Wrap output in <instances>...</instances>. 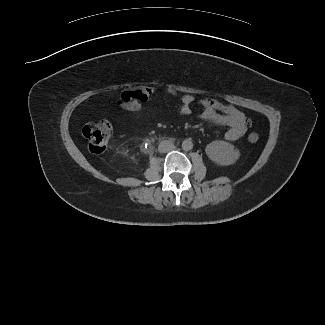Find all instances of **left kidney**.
Masks as SVG:
<instances>
[{"instance_id": "5707ae66", "label": "left kidney", "mask_w": 325, "mask_h": 325, "mask_svg": "<svg viewBox=\"0 0 325 325\" xmlns=\"http://www.w3.org/2000/svg\"><path fill=\"white\" fill-rule=\"evenodd\" d=\"M207 156L217 165L228 166L234 164L240 157L239 150L226 141H213L206 146Z\"/></svg>"}]
</instances>
